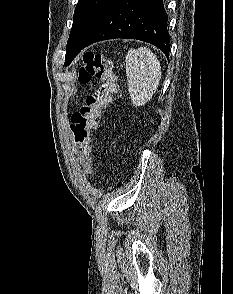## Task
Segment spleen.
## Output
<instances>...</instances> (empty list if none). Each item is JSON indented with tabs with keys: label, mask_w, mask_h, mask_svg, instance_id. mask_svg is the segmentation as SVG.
Returning <instances> with one entry per match:
<instances>
[{
	"label": "spleen",
	"mask_w": 233,
	"mask_h": 294,
	"mask_svg": "<svg viewBox=\"0 0 233 294\" xmlns=\"http://www.w3.org/2000/svg\"><path fill=\"white\" fill-rule=\"evenodd\" d=\"M127 87L136 107L152 99L161 80V66L156 55L147 47L130 49L126 55Z\"/></svg>",
	"instance_id": "1"
}]
</instances>
